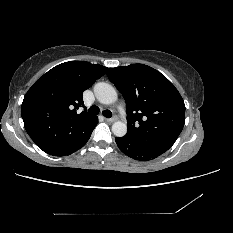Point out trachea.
<instances>
[{"label": "trachea", "instance_id": "1", "mask_svg": "<svg viewBox=\"0 0 233 233\" xmlns=\"http://www.w3.org/2000/svg\"><path fill=\"white\" fill-rule=\"evenodd\" d=\"M100 112V109H99V107L98 106H91L90 108H89V114L90 115H98V113ZM102 114L105 116V117H107V118H111L112 117V112L110 111V110H104L103 112H102Z\"/></svg>", "mask_w": 233, "mask_h": 233}]
</instances>
